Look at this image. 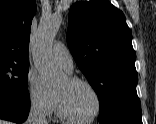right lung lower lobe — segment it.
Segmentation results:
<instances>
[{
    "instance_id": "98d812e1",
    "label": "right lung lower lobe",
    "mask_w": 156,
    "mask_h": 124,
    "mask_svg": "<svg viewBox=\"0 0 156 124\" xmlns=\"http://www.w3.org/2000/svg\"><path fill=\"white\" fill-rule=\"evenodd\" d=\"M30 99L0 92V119L22 123L29 114Z\"/></svg>"
}]
</instances>
